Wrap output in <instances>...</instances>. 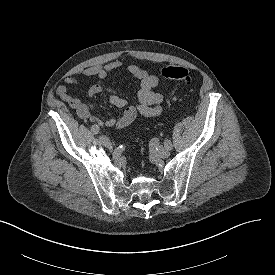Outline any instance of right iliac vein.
<instances>
[{"label":"right iliac vein","mask_w":275,"mask_h":275,"mask_svg":"<svg viewBox=\"0 0 275 275\" xmlns=\"http://www.w3.org/2000/svg\"><path fill=\"white\" fill-rule=\"evenodd\" d=\"M99 140L102 143V145L105 146L106 148L108 149L112 148V143L106 136H100Z\"/></svg>","instance_id":"obj_1"}]
</instances>
